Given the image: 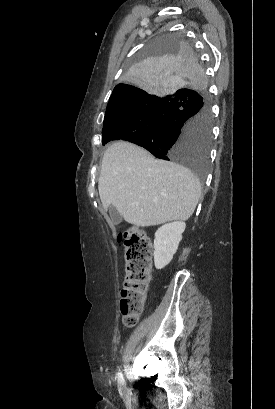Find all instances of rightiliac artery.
I'll list each match as a JSON object with an SVG mask.
<instances>
[{
    "instance_id": "82829eb1",
    "label": "right iliac artery",
    "mask_w": 275,
    "mask_h": 409,
    "mask_svg": "<svg viewBox=\"0 0 275 409\" xmlns=\"http://www.w3.org/2000/svg\"><path fill=\"white\" fill-rule=\"evenodd\" d=\"M117 377H118V382L123 384L124 383V378H123V375H122L121 372H118Z\"/></svg>"
}]
</instances>
